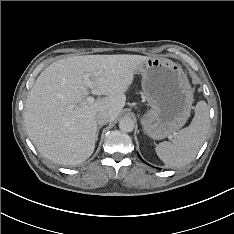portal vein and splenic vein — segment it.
Here are the masks:
<instances>
[{"label": "portal vein and splenic vein", "mask_w": 234, "mask_h": 234, "mask_svg": "<svg viewBox=\"0 0 234 234\" xmlns=\"http://www.w3.org/2000/svg\"><path fill=\"white\" fill-rule=\"evenodd\" d=\"M84 82H85V84L87 85V87L89 88V89H93L94 88V84H93V82L90 80V78H89V76L88 75H85L84 76ZM86 101L87 102H93L94 101V97H92V96H88L87 98H86ZM74 106L73 105H70L69 106V108L70 109H72Z\"/></svg>", "instance_id": "obj_1"}]
</instances>
